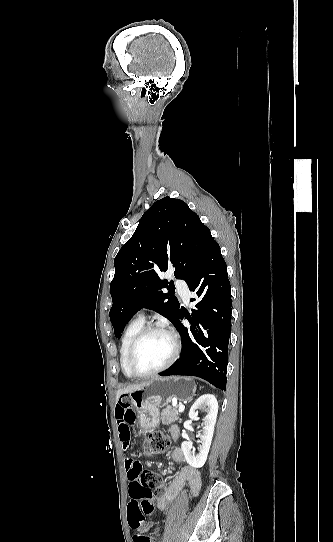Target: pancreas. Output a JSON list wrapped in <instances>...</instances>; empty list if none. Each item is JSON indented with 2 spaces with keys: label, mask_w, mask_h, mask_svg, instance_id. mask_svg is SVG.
Here are the masks:
<instances>
[{
  "label": "pancreas",
  "mask_w": 333,
  "mask_h": 542,
  "mask_svg": "<svg viewBox=\"0 0 333 542\" xmlns=\"http://www.w3.org/2000/svg\"><path fill=\"white\" fill-rule=\"evenodd\" d=\"M178 416L179 414L177 408L167 406V408L161 410V422L164 424V426H169V424H174V422H177V420H179Z\"/></svg>",
  "instance_id": "obj_1"
}]
</instances>
